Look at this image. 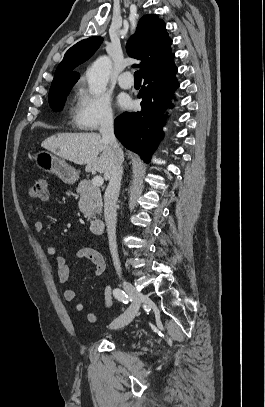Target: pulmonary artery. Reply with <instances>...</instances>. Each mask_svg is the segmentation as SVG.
Segmentation results:
<instances>
[{"label":"pulmonary artery","instance_id":"pulmonary-artery-1","mask_svg":"<svg viewBox=\"0 0 265 407\" xmlns=\"http://www.w3.org/2000/svg\"><path fill=\"white\" fill-rule=\"evenodd\" d=\"M118 84L123 89H130L133 86V79L129 71L123 72L118 78Z\"/></svg>","mask_w":265,"mask_h":407}]
</instances>
